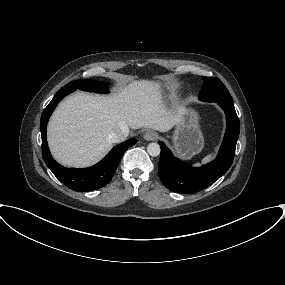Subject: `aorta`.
Instances as JSON below:
<instances>
[{"instance_id": "aorta-1", "label": "aorta", "mask_w": 285, "mask_h": 285, "mask_svg": "<svg viewBox=\"0 0 285 285\" xmlns=\"http://www.w3.org/2000/svg\"><path fill=\"white\" fill-rule=\"evenodd\" d=\"M160 145L158 143H149L147 146V152L150 156L152 157H156L158 155H160Z\"/></svg>"}]
</instances>
